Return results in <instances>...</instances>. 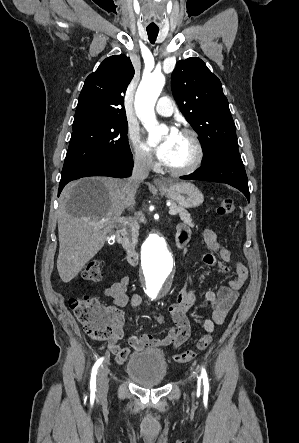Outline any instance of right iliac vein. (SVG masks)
<instances>
[{
    "label": "right iliac vein",
    "mask_w": 299,
    "mask_h": 443,
    "mask_svg": "<svg viewBox=\"0 0 299 443\" xmlns=\"http://www.w3.org/2000/svg\"><path fill=\"white\" fill-rule=\"evenodd\" d=\"M108 391V366L104 364L97 377V396L99 399H104Z\"/></svg>",
    "instance_id": "63e3f726"
}]
</instances>
